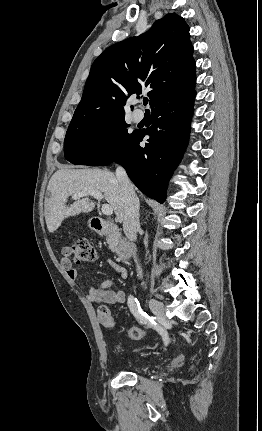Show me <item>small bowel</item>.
I'll use <instances>...</instances> for the list:
<instances>
[{
    "label": "small bowel",
    "mask_w": 262,
    "mask_h": 431,
    "mask_svg": "<svg viewBox=\"0 0 262 431\" xmlns=\"http://www.w3.org/2000/svg\"><path fill=\"white\" fill-rule=\"evenodd\" d=\"M111 266L116 270L122 279L128 278V270L121 266L114 260L110 261ZM62 265L65 270L67 277L75 281L79 278V270L74 268L69 260H62ZM113 281L111 279L103 280L99 283L89 286L87 292V299L91 303L97 304L99 312L102 310H107L109 312L107 305H122L126 302V294L121 289H111ZM164 335L169 340L168 333L163 330ZM163 338V337H162ZM183 356H179V360H182Z\"/></svg>",
    "instance_id": "1"
}]
</instances>
